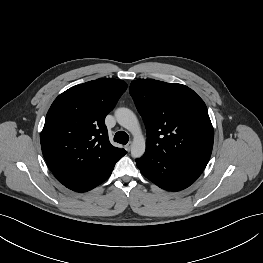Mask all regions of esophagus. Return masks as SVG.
<instances>
[{
    "label": "esophagus",
    "mask_w": 263,
    "mask_h": 263,
    "mask_svg": "<svg viewBox=\"0 0 263 263\" xmlns=\"http://www.w3.org/2000/svg\"><path fill=\"white\" fill-rule=\"evenodd\" d=\"M126 150L129 152L130 149H131V143H128L126 146H125Z\"/></svg>",
    "instance_id": "1"
}]
</instances>
